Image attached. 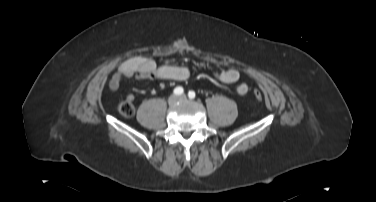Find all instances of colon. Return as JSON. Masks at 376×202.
I'll list each match as a JSON object with an SVG mask.
<instances>
[{
  "mask_svg": "<svg viewBox=\"0 0 376 202\" xmlns=\"http://www.w3.org/2000/svg\"><path fill=\"white\" fill-rule=\"evenodd\" d=\"M255 97L257 100L262 99V93L260 91L255 92ZM119 112L126 117L133 116L135 113V107L133 104V100L127 98L125 101L120 103L119 105Z\"/></svg>",
  "mask_w": 376,
  "mask_h": 202,
  "instance_id": "obj_1",
  "label": "colon"
}]
</instances>
